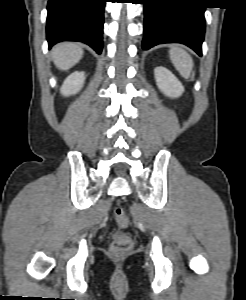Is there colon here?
I'll return each instance as SVG.
<instances>
[{"label":"colon","instance_id":"1","mask_svg":"<svg viewBox=\"0 0 246 300\" xmlns=\"http://www.w3.org/2000/svg\"><path fill=\"white\" fill-rule=\"evenodd\" d=\"M114 217L120 228H125L129 224V219L121 207L114 209ZM133 246L132 238L123 232L114 234L111 242V251L115 256L125 255Z\"/></svg>","mask_w":246,"mask_h":300}]
</instances>
